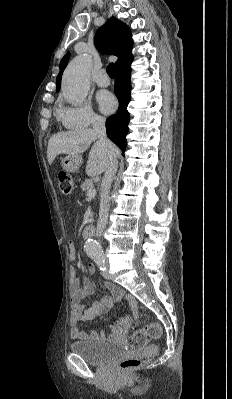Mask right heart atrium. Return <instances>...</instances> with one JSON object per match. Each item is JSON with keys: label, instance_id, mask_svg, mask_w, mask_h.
Here are the masks:
<instances>
[{"label": "right heart atrium", "instance_id": "obj_1", "mask_svg": "<svg viewBox=\"0 0 232 399\" xmlns=\"http://www.w3.org/2000/svg\"><path fill=\"white\" fill-rule=\"evenodd\" d=\"M57 115L62 125L67 129H79V125H91V122L102 121L89 106L72 107L60 105L57 108Z\"/></svg>", "mask_w": 232, "mask_h": 399}]
</instances>
